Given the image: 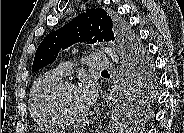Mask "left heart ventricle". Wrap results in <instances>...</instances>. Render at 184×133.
<instances>
[{
    "label": "left heart ventricle",
    "instance_id": "b2bd125f",
    "mask_svg": "<svg viewBox=\"0 0 184 133\" xmlns=\"http://www.w3.org/2000/svg\"><path fill=\"white\" fill-rule=\"evenodd\" d=\"M61 108L70 118H80L88 112V107L82 101L78 88H68L62 94Z\"/></svg>",
    "mask_w": 184,
    "mask_h": 133
}]
</instances>
